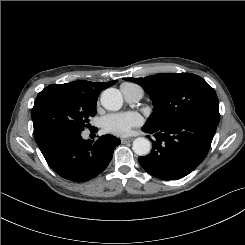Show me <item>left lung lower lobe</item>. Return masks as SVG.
Here are the masks:
<instances>
[{
	"mask_svg": "<svg viewBox=\"0 0 245 245\" xmlns=\"http://www.w3.org/2000/svg\"><path fill=\"white\" fill-rule=\"evenodd\" d=\"M218 124L202 118H187L166 126L142 130L154 134L150 154L139 157L142 168L163 179L176 180L188 175L206 157Z\"/></svg>",
	"mask_w": 245,
	"mask_h": 245,
	"instance_id": "1",
	"label": "left lung lower lobe"
}]
</instances>
